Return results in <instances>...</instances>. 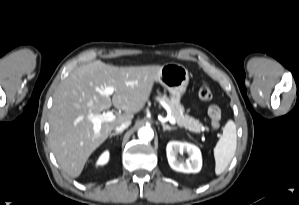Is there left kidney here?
<instances>
[{
    "label": "left kidney",
    "mask_w": 299,
    "mask_h": 205,
    "mask_svg": "<svg viewBox=\"0 0 299 205\" xmlns=\"http://www.w3.org/2000/svg\"><path fill=\"white\" fill-rule=\"evenodd\" d=\"M167 158L170 167L178 172L197 173L202 167V157L200 149L187 142L170 141L166 147ZM187 153L189 159L186 162H180L177 154Z\"/></svg>",
    "instance_id": "1"
}]
</instances>
